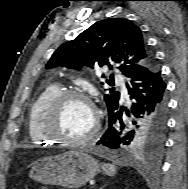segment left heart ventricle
<instances>
[{"label":"left heart ventricle","mask_w":188,"mask_h":189,"mask_svg":"<svg viewBox=\"0 0 188 189\" xmlns=\"http://www.w3.org/2000/svg\"><path fill=\"white\" fill-rule=\"evenodd\" d=\"M94 124V115L89 105L79 99L66 101L61 107L55 130L62 136L77 139L87 135Z\"/></svg>","instance_id":"1"}]
</instances>
